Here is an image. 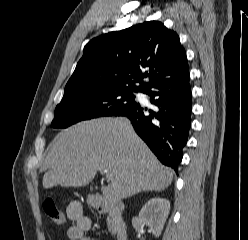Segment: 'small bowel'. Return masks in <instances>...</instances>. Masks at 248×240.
I'll use <instances>...</instances> for the list:
<instances>
[{"label":"small bowel","mask_w":248,"mask_h":240,"mask_svg":"<svg viewBox=\"0 0 248 240\" xmlns=\"http://www.w3.org/2000/svg\"><path fill=\"white\" fill-rule=\"evenodd\" d=\"M68 219L72 222L67 230L69 240H93L86 236L91 227V220L84 214L81 204L77 201L71 202L66 209Z\"/></svg>","instance_id":"small-bowel-1"}]
</instances>
